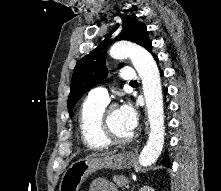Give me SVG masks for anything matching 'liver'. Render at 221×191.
Masks as SVG:
<instances>
[{"label":"liver","mask_w":221,"mask_h":191,"mask_svg":"<svg viewBox=\"0 0 221 191\" xmlns=\"http://www.w3.org/2000/svg\"><path fill=\"white\" fill-rule=\"evenodd\" d=\"M115 152H116V151L105 152V153H102V154H95V153H93L90 157L107 156V155H112V154H114Z\"/></svg>","instance_id":"6515ba94"}]
</instances>
